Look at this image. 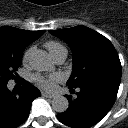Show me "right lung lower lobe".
<instances>
[{"label": "right lung lower lobe", "instance_id": "98d812e1", "mask_svg": "<svg viewBox=\"0 0 128 128\" xmlns=\"http://www.w3.org/2000/svg\"><path fill=\"white\" fill-rule=\"evenodd\" d=\"M41 96L40 91L23 80L20 90H8L7 83H0V128H16L28 117L31 103Z\"/></svg>", "mask_w": 128, "mask_h": 128}]
</instances>
